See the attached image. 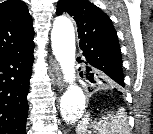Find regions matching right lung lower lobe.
I'll list each match as a JSON object with an SVG mask.
<instances>
[{
  "instance_id": "right-lung-lower-lobe-1",
  "label": "right lung lower lobe",
  "mask_w": 153,
  "mask_h": 134,
  "mask_svg": "<svg viewBox=\"0 0 153 134\" xmlns=\"http://www.w3.org/2000/svg\"><path fill=\"white\" fill-rule=\"evenodd\" d=\"M33 49L0 59V134H26Z\"/></svg>"
}]
</instances>
